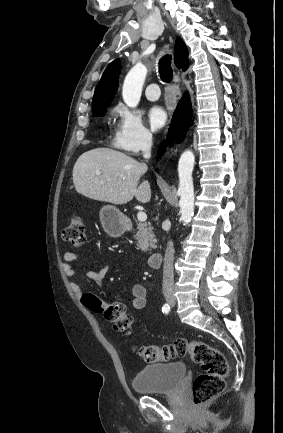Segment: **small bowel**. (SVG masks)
<instances>
[{
    "label": "small bowel",
    "instance_id": "1",
    "mask_svg": "<svg viewBox=\"0 0 283 433\" xmlns=\"http://www.w3.org/2000/svg\"><path fill=\"white\" fill-rule=\"evenodd\" d=\"M63 259V269L67 277L74 278L77 274V270L74 266L75 263L81 261V258L75 253L69 251L62 252ZM110 266L108 264H103L99 268L95 270H89L85 272V275L88 279L94 282V284L98 287H102L103 281L109 273ZM71 289L76 297H82L83 293L80 286L72 281L70 283ZM131 297H132V307L134 309H143L146 306L147 302V292L146 288L139 283H136L132 286L131 289Z\"/></svg>",
    "mask_w": 283,
    "mask_h": 433
}]
</instances>
